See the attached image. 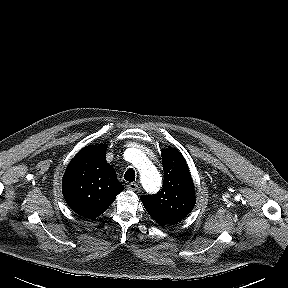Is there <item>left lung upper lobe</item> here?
Masks as SVG:
<instances>
[{"label":"left lung upper lobe","mask_w":288,"mask_h":288,"mask_svg":"<svg viewBox=\"0 0 288 288\" xmlns=\"http://www.w3.org/2000/svg\"><path fill=\"white\" fill-rule=\"evenodd\" d=\"M162 190L140 199L150 216L160 225L176 224L194 208V186L184 157L176 149L164 150Z\"/></svg>","instance_id":"1"}]
</instances>
